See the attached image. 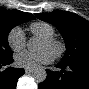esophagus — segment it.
Wrapping results in <instances>:
<instances>
[{"label": "esophagus", "mask_w": 89, "mask_h": 89, "mask_svg": "<svg viewBox=\"0 0 89 89\" xmlns=\"http://www.w3.org/2000/svg\"><path fill=\"white\" fill-rule=\"evenodd\" d=\"M25 72H26L27 74H30V73L33 72V69H31V68H27V69H25Z\"/></svg>", "instance_id": "esophagus-1"}]
</instances>
